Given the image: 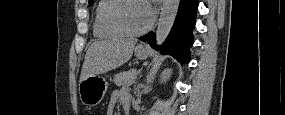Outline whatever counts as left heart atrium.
<instances>
[{
  "label": "left heart atrium",
  "instance_id": "left-heart-atrium-1",
  "mask_svg": "<svg viewBox=\"0 0 285 115\" xmlns=\"http://www.w3.org/2000/svg\"><path fill=\"white\" fill-rule=\"evenodd\" d=\"M144 11L146 16L147 24L151 21L153 16V10L149 5H144Z\"/></svg>",
  "mask_w": 285,
  "mask_h": 115
}]
</instances>
